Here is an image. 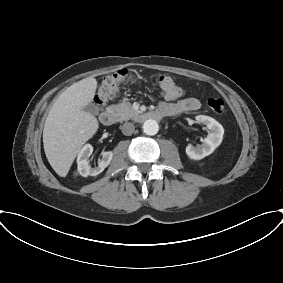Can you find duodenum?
Returning a JSON list of instances; mask_svg holds the SVG:
<instances>
[{
	"label": "duodenum",
	"mask_w": 283,
	"mask_h": 283,
	"mask_svg": "<svg viewBox=\"0 0 283 283\" xmlns=\"http://www.w3.org/2000/svg\"><path fill=\"white\" fill-rule=\"evenodd\" d=\"M172 112L169 110L165 111H147L142 112L138 115V120L144 122L147 120H159L165 116H171ZM116 115L113 110L108 109L100 113L99 120L103 125H111L114 123Z\"/></svg>",
	"instance_id": "duodenum-1"
}]
</instances>
